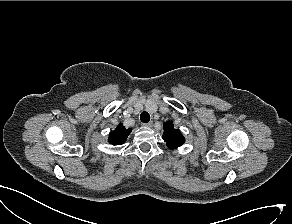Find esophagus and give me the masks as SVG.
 I'll list each match as a JSON object with an SVG mask.
<instances>
[{
  "label": "esophagus",
  "instance_id": "esophagus-1",
  "mask_svg": "<svg viewBox=\"0 0 292 224\" xmlns=\"http://www.w3.org/2000/svg\"><path fill=\"white\" fill-rule=\"evenodd\" d=\"M142 126H143V127L150 128V127L153 126V123L150 121V122H148V123H143Z\"/></svg>",
  "mask_w": 292,
  "mask_h": 224
}]
</instances>
